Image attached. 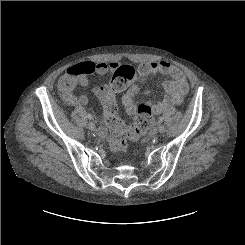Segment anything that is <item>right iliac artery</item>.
<instances>
[{"label":"right iliac artery","mask_w":245,"mask_h":245,"mask_svg":"<svg viewBox=\"0 0 245 245\" xmlns=\"http://www.w3.org/2000/svg\"><path fill=\"white\" fill-rule=\"evenodd\" d=\"M87 117H88V119H90V120L93 118L92 115H91L90 113H88Z\"/></svg>","instance_id":"right-iliac-artery-1"}]
</instances>
